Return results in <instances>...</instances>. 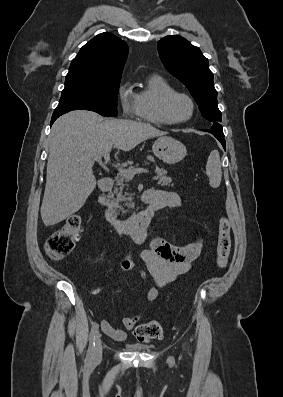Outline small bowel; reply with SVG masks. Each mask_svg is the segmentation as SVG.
I'll list each match as a JSON object with an SVG mask.
<instances>
[{"instance_id":"obj_1","label":"small bowel","mask_w":283,"mask_h":397,"mask_svg":"<svg viewBox=\"0 0 283 397\" xmlns=\"http://www.w3.org/2000/svg\"><path fill=\"white\" fill-rule=\"evenodd\" d=\"M151 198L159 208H180L182 201L175 192L149 189ZM137 244H142L146 239V232L132 235ZM202 239L197 238L185 246H175L164 239H153L147 248L140 253V259L145 269L140 270L143 279L150 277L153 285L146 291V300L154 302L159 295L160 289L166 284L173 282L179 276L187 273L192 263L199 257L202 249ZM137 268L132 256L125 258L120 269L129 272ZM93 294H98V290H92ZM141 318V314L125 317L122 321L124 329L113 327L108 321H101L102 331L116 341H124L127 337L126 331L132 330Z\"/></svg>"}]
</instances>
